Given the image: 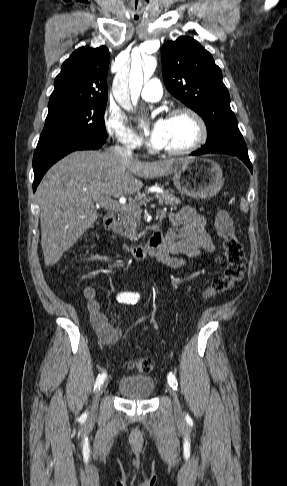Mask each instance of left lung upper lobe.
<instances>
[{
	"label": "left lung upper lobe",
	"mask_w": 287,
	"mask_h": 486,
	"mask_svg": "<svg viewBox=\"0 0 287 486\" xmlns=\"http://www.w3.org/2000/svg\"><path fill=\"white\" fill-rule=\"evenodd\" d=\"M166 88L204 120L208 137L201 150L208 153L248 155L230 108L222 72L211 54L190 37L168 41L161 48Z\"/></svg>",
	"instance_id": "5c2ea615"
}]
</instances>
